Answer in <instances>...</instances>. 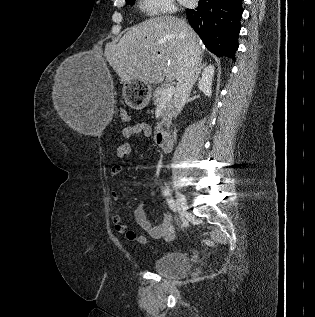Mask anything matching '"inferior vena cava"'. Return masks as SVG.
<instances>
[{"instance_id": "1", "label": "inferior vena cava", "mask_w": 315, "mask_h": 317, "mask_svg": "<svg viewBox=\"0 0 315 317\" xmlns=\"http://www.w3.org/2000/svg\"><path fill=\"white\" fill-rule=\"evenodd\" d=\"M184 67L178 78L176 92L174 95V115H177L184 107L194 84L200 56L196 54L190 45L185 47Z\"/></svg>"}]
</instances>
